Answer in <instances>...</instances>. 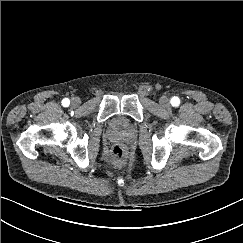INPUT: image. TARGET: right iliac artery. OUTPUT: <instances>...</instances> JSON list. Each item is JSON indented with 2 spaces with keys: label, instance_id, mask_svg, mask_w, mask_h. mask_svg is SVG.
Here are the masks:
<instances>
[{
  "label": "right iliac artery",
  "instance_id": "82829eb1",
  "mask_svg": "<svg viewBox=\"0 0 243 243\" xmlns=\"http://www.w3.org/2000/svg\"><path fill=\"white\" fill-rule=\"evenodd\" d=\"M70 104V100L68 98H65L62 100V105L67 107Z\"/></svg>",
  "mask_w": 243,
  "mask_h": 243
}]
</instances>
